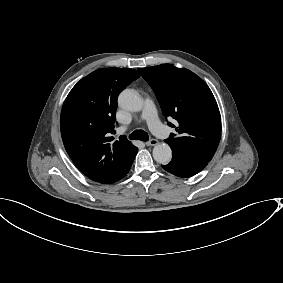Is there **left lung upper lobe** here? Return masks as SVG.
<instances>
[{"label":"left lung upper lobe","instance_id":"left-lung-upper-lobe-1","mask_svg":"<svg viewBox=\"0 0 283 283\" xmlns=\"http://www.w3.org/2000/svg\"><path fill=\"white\" fill-rule=\"evenodd\" d=\"M138 70L155 92L163 114L179 124L175 128L179 135L172 133L165 142L172 151L209 162L220 141L221 116L207 84L190 70L172 64Z\"/></svg>","mask_w":283,"mask_h":283}]
</instances>
